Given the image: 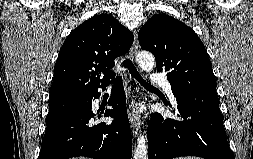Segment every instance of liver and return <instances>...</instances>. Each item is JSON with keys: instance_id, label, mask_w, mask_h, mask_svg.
I'll list each match as a JSON object with an SVG mask.
<instances>
[{"instance_id": "1", "label": "liver", "mask_w": 253, "mask_h": 159, "mask_svg": "<svg viewBox=\"0 0 253 159\" xmlns=\"http://www.w3.org/2000/svg\"><path fill=\"white\" fill-rule=\"evenodd\" d=\"M73 159H88V158H85V157H78V158H73Z\"/></svg>"}]
</instances>
